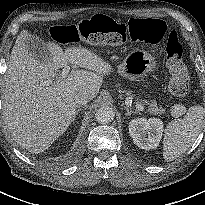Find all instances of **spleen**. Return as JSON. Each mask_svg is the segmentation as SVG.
Segmentation results:
<instances>
[{
    "label": "spleen",
    "instance_id": "1",
    "mask_svg": "<svg viewBox=\"0 0 205 205\" xmlns=\"http://www.w3.org/2000/svg\"><path fill=\"white\" fill-rule=\"evenodd\" d=\"M205 109L192 106L184 118L168 123L163 140V158L171 162L184 153L195 141L201 130Z\"/></svg>",
    "mask_w": 205,
    "mask_h": 205
}]
</instances>
